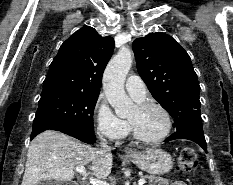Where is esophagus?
<instances>
[{
  "instance_id": "esophagus-1",
  "label": "esophagus",
  "mask_w": 233,
  "mask_h": 185,
  "mask_svg": "<svg viewBox=\"0 0 233 185\" xmlns=\"http://www.w3.org/2000/svg\"><path fill=\"white\" fill-rule=\"evenodd\" d=\"M125 152H126L127 154L132 153V151H131L130 149H126Z\"/></svg>"
}]
</instances>
